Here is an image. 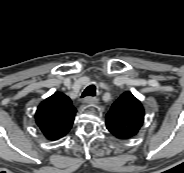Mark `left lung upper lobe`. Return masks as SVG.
Wrapping results in <instances>:
<instances>
[{
	"label": "left lung upper lobe",
	"mask_w": 184,
	"mask_h": 173,
	"mask_svg": "<svg viewBox=\"0 0 184 173\" xmlns=\"http://www.w3.org/2000/svg\"><path fill=\"white\" fill-rule=\"evenodd\" d=\"M144 121L141 102L131 92L123 93L106 115L108 131L119 139L134 137Z\"/></svg>",
	"instance_id": "left-lung-upper-lobe-1"
}]
</instances>
